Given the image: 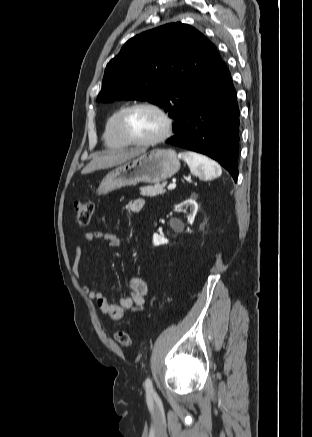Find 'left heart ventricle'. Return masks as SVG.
Returning a JSON list of instances; mask_svg holds the SVG:
<instances>
[{"label":"left heart ventricle","mask_w":312,"mask_h":437,"mask_svg":"<svg viewBox=\"0 0 312 437\" xmlns=\"http://www.w3.org/2000/svg\"><path fill=\"white\" fill-rule=\"evenodd\" d=\"M127 129L139 140H149L160 135L164 129L163 119L149 108L134 110L127 119Z\"/></svg>","instance_id":"obj_1"}]
</instances>
